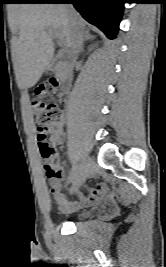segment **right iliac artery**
Masks as SVG:
<instances>
[{
	"label": "right iliac artery",
	"instance_id": "obj_1",
	"mask_svg": "<svg viewBox=\"0 0 166 267\" xmlns=\"http://www.w3.org/2000/svg\"><path fill=\"white\" fill-rule=\"evenodd\" d=\"M79 165L78 164H74L72 169H71V173L68 177V183L74 181V179L76 178L78 172H79Z\"/></svg>",
	"mask_w": 166,
	"mask_h": 267
}]
</instances>
